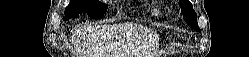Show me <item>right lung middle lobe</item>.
Listing matches in <instances>:
<instances>
[{
  "instance_id": "obj_1",
  "label": "right lung middle lobe",
  "mask_w": 249,
  "mask_h": 57,
  "mask_svg": "<svg viewBox=\"0 0 249 57\" xmlns=\"http://www.w3.org/2000/svg\"><path fill=\"white\" fill-rule=\"evenodd\" d=\"M108 6L99 1L93 0H71L65 9V20L76 18L81 13H86L94 19H100L104 16Z\"/></svg>"
}]
</instances>
